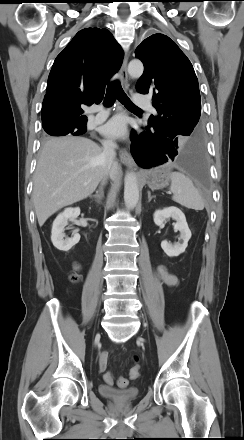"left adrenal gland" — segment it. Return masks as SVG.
<instances>
[{"instance_id":"a2214340","label":"left adrenal gland","mask_w":244,"mask_h":440,"mask_svg":"<svg viewBox=\"0 0 244 440\" xmlns=\"http://www.w3.org/2000/svg\"><path fill=\"white\" fill-rule=\"evenodd\" d=\"M153 198H156V196H151V193L148 192V202H150Z\"/></svg>"}]
</instances>
